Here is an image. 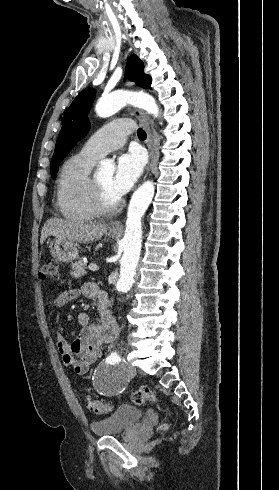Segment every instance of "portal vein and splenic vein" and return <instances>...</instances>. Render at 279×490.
<instances>
[{"mask_svg":"<svg viewBox=\"0 0 279 490\" xmlns=\"http://www.w3.org/2000/svg\"><path fill=\"white\" fill-rule=\"evenodd\" d=\"M84 264H87V260H84ZM88 268L89 270H92V272H96V270H98L96 264H89Z\"/></svg>","mask_w":279,"mask_h":490,"instance_id":"obj_1","label":"portal vein and splenic vein"}]
</instances>
